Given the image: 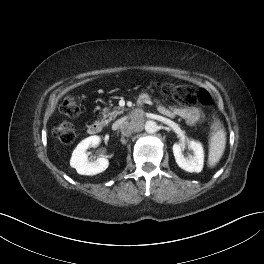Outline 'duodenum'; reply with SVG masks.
Listing matches in <instances>:
<instances>
[{"mask_svg":"<svg viewBox=\"0 0 264 264\" xmlns=\"http://www.w3.org/2000/svg\"><path fill=\"white\" fill-rule=\"evenodd\" d=\"M142 102V101H141ZM102 129H103V125L101 122H93L91 123L89 126H88V133L90 135H98L102 132Z\"/></svg>","mask_w":264,"mask_h":264,"instance_id":"410a0bca","label":"duodenum"}]
</instances>
